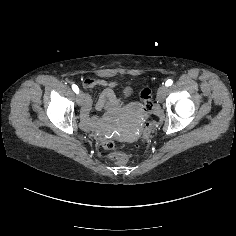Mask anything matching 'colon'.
<instances>
[{
    "mask_svg": "<svg viewBox=\"0 0 236 236\" xmlns=\"http://www.w3.org/2000/svg\"><path fill=\"white\" fill-rule=\"evenodd\" d=\"M140 97L144 103V109L147 113L152 114L154 112V102L152 97V90L149 87H145L140 92ZM153 122H148L143 130V139L146 140L153 128ZM104 149L109 151V158L118 165H123L127 162V156L122 153L115 152L116 145L112 140L105 139L102 142Z\"/></svg>",
    "mask_w": 236,
    "mask_h": 236,
    "instance_id": "1",
    "label": "colon"
}]
</instances>
